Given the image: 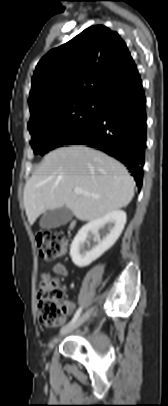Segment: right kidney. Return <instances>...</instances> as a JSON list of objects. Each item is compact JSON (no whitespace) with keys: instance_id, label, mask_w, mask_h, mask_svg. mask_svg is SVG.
<instances>
[{"instance_id":"obj_1","label":"right kidney","mask_w":168,"mask_h":406,"mask_svg":"<svg viewBox=\"0 0 168 406\" xmlns=\"http://www.w3.org/2000/svg\"><path fill=\"white\" fill-rule=\"evenodd\" d=\"M125 223L126 213L123 210H115L84 225L71 244L70 256L73 263L78 267H86L98 259L117 241ZM105 225H108L109 233L100 241L98 230ZM89 232L95 235L94 241L98 244L87 250L85 242Z\"/></svg>"}]
</instances>
